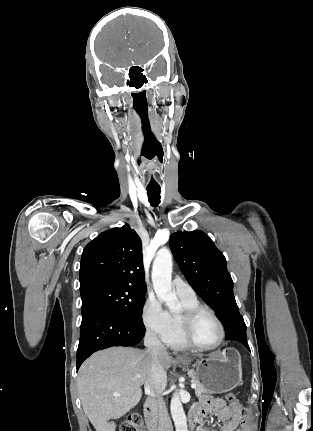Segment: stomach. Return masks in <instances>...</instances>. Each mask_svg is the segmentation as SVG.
<instances>
[{
  "label": "stomach",
  "mask_w": 313,
  "mask_h": 431,
  "mask_svg": "<svg viewBox=\"0 0 313 431\" xmlns=\"http://www.w3.org/2000/svg\"><path fill=\"white\" fill-rule=\"evenodd\" d=\"M191 363L190 358L182 360L185 366ZM193 366L195 369L191 371L209 393H226L242 382L241 358L233 348L210 354L205 358L199 357Z\"/></svg>",
  "instance_id": "obj_1"
}]
</instances>
